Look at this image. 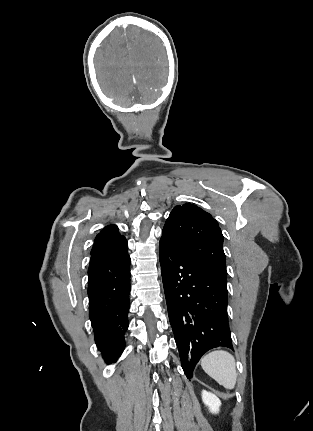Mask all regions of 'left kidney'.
Wrapping results in <instances>:
<instances>
[{
    "instance_id": "5707ae66",
    "label": "left kidney",
    "mask_w": 313,
    "mask_h": 431,
    "mask_svg": "<svg viewBox=\"0 0 313 431\" xmlns=\"http://www.w3.org/2000/svg\"><path fill=\"white\" fill-rule=\"evenodd\" d=\"M202 400L209 407L211 413L217 414L219 412L221 401L215 394L204 390L202 391Z\"/></svg>"
}]
</instances>
